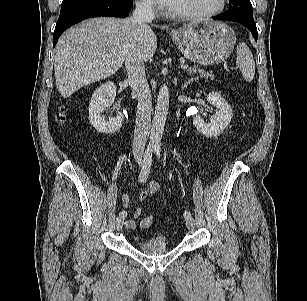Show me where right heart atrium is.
<instances>
[{
  "label": "right heart atrium",
  "mask_w": 307,
  "mask_h": 301,
  "mask_svg": "<svg viewBox=\"0 0 307 301\" xmlns=\"http://www.w3.org/2000/svg\"><path fill=\"white\" fill-rule=\"evenodd\" d=\"M136 5L142 12L152 14L156 11L154 0H137Z\"/></svg>",
  "instance_id": "1"
}]
</instances>
